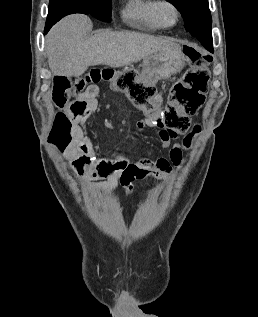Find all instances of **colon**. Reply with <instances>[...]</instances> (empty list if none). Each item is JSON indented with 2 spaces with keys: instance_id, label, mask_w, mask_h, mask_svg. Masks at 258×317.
I'll list each match as a JSON object with an SVG mask.
<instances>
[{
  "instance_id": "obj_1",
  "label": "colon",
  "mask_w": 258,
  "mask_h": 317,
  "mask_svg": "<svg viewBox=\"0 0 258 317\" xmlns=\"http://www.w3.org/2000/svg\"><path fill=\"white\" fill-rule=\"evenodd\" d=\"M185 54L192 67L176 82L164 105L156 97L153 87L138 80L131 71L112 68H91L80 78L70 80L65 76L54 79L52 100L61 110L55 114L50 132V141L60 149L67 148L75 136L76 123L69 109H63L72 96L83 92L88 85L110 83L116 90L127 95L129 100L147 115L156 119L157 126L170 138L184 134L190 126V117L205 98L209 81L210 54L188 47Z\"/></svg>"
}]
</instances>
